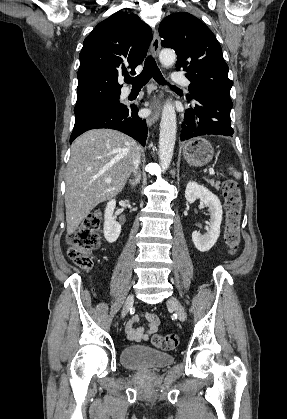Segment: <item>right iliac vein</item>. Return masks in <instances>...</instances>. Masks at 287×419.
I'll list each match as a JSON object with an SVG mask.
<instances>
[{
    "mask_svg": "<svg viewBox=\"0 0 287 419\" xmlns=\"http://www.w3.org/2000/svg\"><path fill=\"white\" fill-rule=\"evenodd\" d=\"M134 302V296L133 295H129L124 303V306L122 308V312H121V318H125V316L127 315L130 307L132 306Z\"/></svg>",
    "mask_w": 287,
    "mask_h": 419,
    "instance_id": "63e3f726",
    "label": "right iliac vein"
}]
</instances>
